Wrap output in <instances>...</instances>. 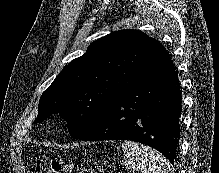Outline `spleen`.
<instances>
[{"label": "spleen", "instance_id": "1", "mask_svg": "<svg viewBox=\"0 0 219 173\" xmlns=\"http://www.w3.org/2000/svg\"><path fill=\"white\" fill-rule=\"evenodd\" d=\"M125 166L132 171L141 173H174L169 161L158 151L126 140L122 143Z\"/></svg>", "mask_w": 219, "mask_h": 173}]
</instances>
